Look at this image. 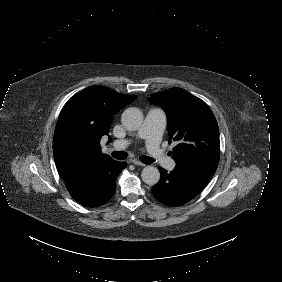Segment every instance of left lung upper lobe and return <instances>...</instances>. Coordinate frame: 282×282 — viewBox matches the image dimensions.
Returning a JSON list of instances; mask_svg holds the SVG:
<instances>
[{
  "label": "left lung upper lobe",
  "mask_w": 282,
  "mask_h": 282,
  "mask_svg": "<svg viewBox=\"0 0 282 282\" xmlns=\"http://www.w3.org/2000/svg\"><path fill=\"white\" fill-rule=\"evenodd\" d=\"M148 101L167 114L169 143L178 142L171 152L176 164L191 160L219 162V128L204 101L181 88L152 94Z\"/></svg>",
  "instance_id": "obj_1"
}]
</instances>
